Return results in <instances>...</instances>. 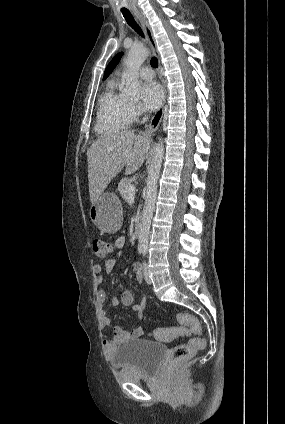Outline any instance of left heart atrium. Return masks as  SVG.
<instances>
[{
	"mask_svg": "<svg viewBox=\"0 0 285 424\" xmlns=\"http://www.w3.org/2000/svg\"><path fill=\"white\" fill-rule=\"evenodd\" d=\"M143 108L146 110L157 109L163 100V91L156 81H146L141 87Z\"/></svg>",
	"mask_w": 285,
	"mask_h": 424,
	"instance_id": "1",
	"label": "left heart atrium"
}]
</instances>
